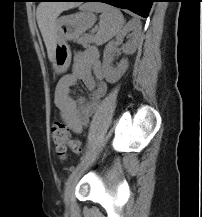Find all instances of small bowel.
<instances>
[{
	"mask_svg": "<svg viewBox=\"0 0 202 217\" xmlns=\"http://www.w3.org/2000/svg\"><path fill=\"white\" fill-rule=\"evenodd\" d=\"M82 81L91 91L88 100L74 98L72 91ZM107 91L103 66L97 50L89 49L74 57L73 72L62 77L55 89L54 102L62 118L75 133L87 127L90 117Z\"/></svg>",
	"mask_w": 202,
	"mask_h": 217,
	"instance_id": "small-bowel-1",
	"label": "small bowel"
}]
</instances>
